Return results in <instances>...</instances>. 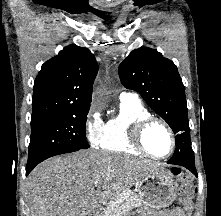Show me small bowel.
Listing matches in <instances>:
<instances>
[{"mask_svg": "<svg viewBox=\"0 0 221 216\" xmlns=\"http://www.w3.org/2000/svg\"><path fill=\"white\" fill-rule=\"evenodd\" d=\"M192 212V204L184 205L183 209L174 208L172 210L163 211L160 216H189Z\"/></svg>", "mask_w": 221, "mask_h": 216, "instance_id": "c3829d8e", "label": "small bowel"}]
</instances>
